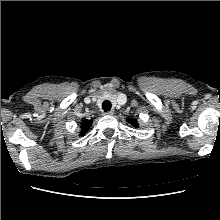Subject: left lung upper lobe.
<instances>
[{
	"label": "left lung upper lobe",
	"mask_w": 220,
	"mask_h": 220,
	"mask_svg": "<svg viewBox=\"0 0 220 220\" xmlns=\"http://www.w3.org/2000/svg\"><path fill=\"white\" fill-rule=\"evenodd\" d=\"M128 122L130 124H132L133 126L138 127V123H137V121L135 119H128Z\"/></svg>",
	"instance_id": "5c2ea615"
}]
</instances>
